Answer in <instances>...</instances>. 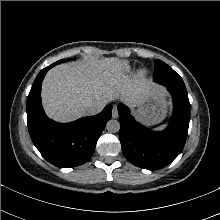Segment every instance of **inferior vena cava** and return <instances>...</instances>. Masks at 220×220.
<instances>
[{"instance_id":"obj_1","label":"inferior vena cava","mask_w":220,"mask_h":220,"mask_svg":"<svg viewBox=\"0 0 220 220\" xmlns=\"http://www.w3.org/2000/svg\"><path fill=\"white\" fill-rule=\"evenodd\" d=\"M104 107V102H93L85 107V113L86 115H95L101 112Z\"/></svg>"}]
</instances>
